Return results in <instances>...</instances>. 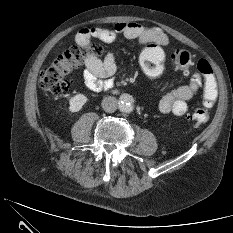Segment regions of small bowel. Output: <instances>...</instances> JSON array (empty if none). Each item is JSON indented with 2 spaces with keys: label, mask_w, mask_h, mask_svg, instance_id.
I'll list each match as a JSON object with an SVG mask.
<instances>
[{
  "label": "small bowel",
  "mask_w": 233,
  "mask_h": 233,
  "mask_svg": "<svg viewBox=\"0 0 233 233\" xmlns=\"http://www.w3.org/2000/svg\"><path fill=\"white\" fill-rule=\"evenodd\" d=\"M122 35L126 39L137 40L141 44L154 42L159 46H167L168 37L158 28L147 29L138 22H118L111 27L92 26L81 29L76 35L79 45L90 44L91 39L97 38L105 43L112 44ZM117 70L116 57L108 52L103 60L96 55H89L85 59L84 83L93 92L109 91L114 87L113 75ZM201 74L194 73L190 81L178 88L155 98L160 112L183 116L188 110L187 102L193 98L203 86Z\"/></svg>",
  "instance_id": "c3829d8e"
}]
</instances>
